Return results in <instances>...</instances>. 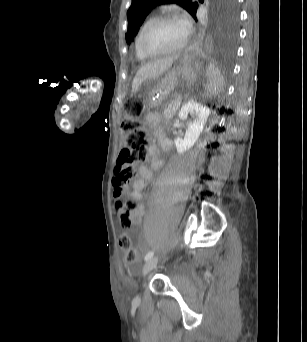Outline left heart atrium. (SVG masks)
I'll use <instances>...</instances> for the list:
<instances>
[{
  "instance_id": "1",
  "label": "left heart atrium",
  "mask_w": 307,
  "mask_h": 342,
  "mask_svg": "<svg viewBox=\"0 0 307 342\" xmlns=\"http://www.w3.org/2000/svg\"><path fill=\"white\" fill-rule=\"evenodd\" d=\"M182 29H183V31H184L185 34H189V33H190L191 28H190V24H189L188 21H184V22L182 23Z\"/></svg>"
}]
</instances>
